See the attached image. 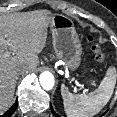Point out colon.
Returning <instances> with one entry per match:
<instances>
[{
    "mask_svg": "<svg viewBox=\"0 0 117 117\" xmlns=\"http://www.w3.org/2000/svg\"><path fill=\"white\" fill-rule=\"evenodd\" d=\"M88 41L91 43V49L94 55V59L99 63L103 64L105 60L104 53L101 47L95 42V38L93 36H88Z\"/></svg>",
    "mask_w": 117,
    "mask_h": 117,
    "instance_id": "1",
    "label": "colon"
}]
</instances>
